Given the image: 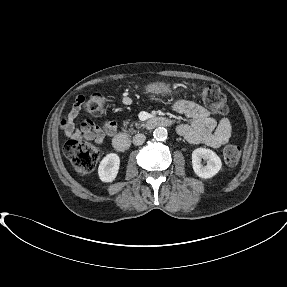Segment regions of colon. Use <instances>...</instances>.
<instances>
[{
    "instance_id": "1",
    "label": "colon",
    "mask_w": 287,
    "mask_h": 287,
    "mask_svg": "<svg viewBox=\"0 0 287 287\" xmlns=\"http://www.w3.org/2000/svg\"><path fill=\"white\" fill-rule=\"evenodd\" d=\"M202 100L208 109L215 114H226L229 111L225 94L215 85H207L202 89ZM77 103L94 118H101L106 112V99L101 93H93L88 97H79ZM65 151L69 155L75 170L82 175L90 173L96 166L101 150L95 144L80 136L68 135L65 141ZM224 160L229 165L238 163L241 148L237 145H227L223 151Z\"/></svg>"
}]
</instances>
